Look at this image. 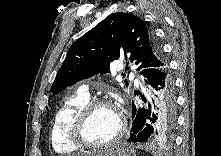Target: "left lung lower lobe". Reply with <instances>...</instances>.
<instances>
[{
	"label": "left lung lower lobe",
	"mask_w": 221,
	"mask_h": 156,
	"mask_svg": "<svg viewBox=\"0 0 221 156\" xmlns=\"http://www.w3.org/2000/svg\"><path fill=\"white\" fill-rule=\"evenodd\" d=\"M145 90L141 96L146 105H132V126L128 142H147L172 137L176 123L174 78L168 64L141 72Z\"/></svg>",
	"instance_id": "left-lung-lower-lobe-1"
}]
</instances>
